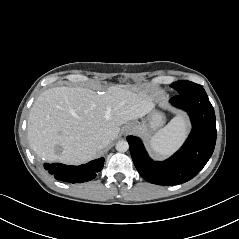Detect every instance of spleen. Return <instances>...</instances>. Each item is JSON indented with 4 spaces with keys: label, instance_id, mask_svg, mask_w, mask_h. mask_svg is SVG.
Masks as SVG:
<instances>
[{
    "label": "spleen",
    "instance_id": "obj_1",
    "mask_svg": "<svg viewBox=\"0 0 239 239\" xmlns=\"http://www.w3.org/2000/svg\"><path fill=\"white\" fill-rule=\"evenodd\" d=\"M188 122L184 115L173 118L168 125L158 131L150 140V148L160 156H169L187 135Z\"/></svg>",
    "mask_w": 239,
    "mask_h": 239
}]
</instances>
